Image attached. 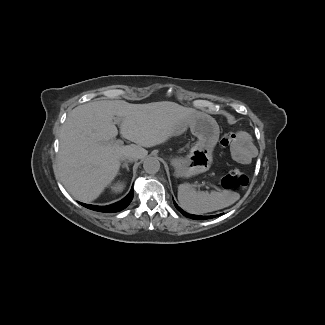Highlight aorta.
I'll list each match as a JSON object with an SVG mask.
<instances>
[{"mask_svg":"<svg viewBox=\"0 0 325 325\" xmlns=\"http://www.w3.org/2000/svg\"><path fill=\"white\" fill-rule=\"evenodd\" d=\"M144 170L149 174H155L160 169V162L156 157H147L143 162Z\"/></svg>","mask_w":325,"mask_h":325,"instance_id":"1","label":"aorta"}]
</instances>
